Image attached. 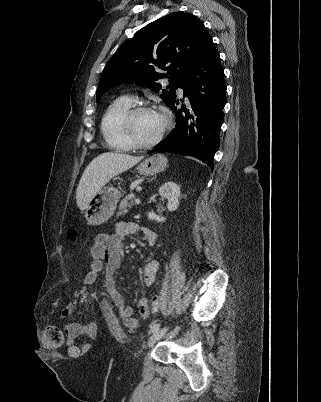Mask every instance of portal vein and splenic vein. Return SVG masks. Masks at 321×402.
I'll return each mask as SVG.
<instances>
[{"mask_svg":"<svg viewBox=\"0 0 321 402\" xmlns=\"http://www.w3.org/2000/svg\"><path fill=\"white\" fill-rule=\"evenodd\" d=\"M134 200H135V202H136L137 204L140 203V199H139V198H135Z\"/></svg>","mask_w":321,"mask_h":402,"instance_id":"18ae733b","label":"portal vein and splenic vein"}]
</instances>
